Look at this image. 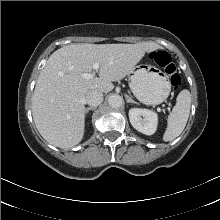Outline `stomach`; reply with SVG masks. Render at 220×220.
<instances>
[{
  "instance_id": "obj_1",
  "label": "stomach",
  "mask_w": 220,
  "mask_h": 220,
  "mask_svg": "<svg viewBox=\"0 0 220 220\" xmlns=\"http://www.w3.org/2000/svg\"><path fill=\"white\" fill-rule=\"evenodd\" d=\"M129 77V86L135 97L144 104L157 105L164 102L171 92L168 75L150 65H139Z\"/></svg>"
}]
</instances>
